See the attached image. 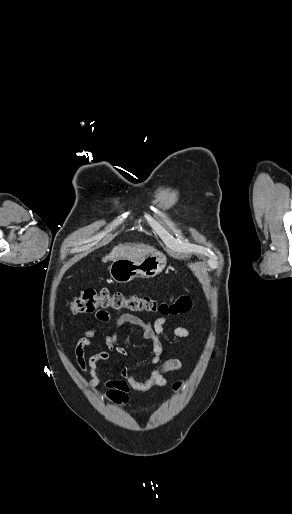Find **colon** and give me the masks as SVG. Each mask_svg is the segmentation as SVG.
<instances>
[{
    "label": "colon",
    "instance_id": "colon-1",
    "mask_svg": "<svg viewBox=\"0 0 292 514\" xmlns=\"http://www.w3.org/2000/svg\"><path fill=\"white\" fill-rule=\"evenodd\" d=\"M71 311L78 314H91L99 311L149 312L161 315H182L190 311L192 299L188 294L180 295L174 301L157 300L148 296L126 295L123 292H110L107 289L97 291L86 288L70 302ZM179 385L172 387L175 394Z\"/></svg>",
    "mask_w": 292,
    "mask_h": 514
}]
</instances>
